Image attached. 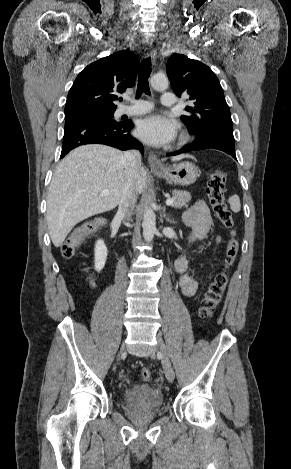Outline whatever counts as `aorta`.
Here are the masks:
<instances>
[{
  "instance_id": "1",
  "label": "aorta",
  "mask_w": 291,
  "mask_h": 469,
  "mask_svg": "<svg viewBox=\"0 0 291 469\" xmlns=\"http://www.w3.org/2000/svg\"><path fill=\"white\" fill-rule=\"evenodd\" d=\"M150 83L151 86L158 91H164L168 88V79L163 75H154ZM142 227L145 241H152L156 231V216L151 208L145 209Z\"/></svg>"
}]
</instances>
